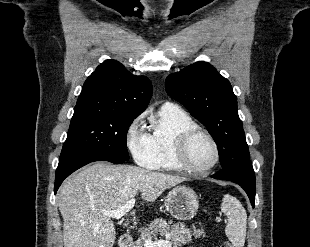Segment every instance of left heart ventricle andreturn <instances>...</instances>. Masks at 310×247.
<instances>
[{
  "label": "left heart ventricle",
  "mask_w": 310,
  "mask_h": 247,
  "mask_svg": "<svg viewBox=\"0 0 310 247\" xmlns=\"http://www.w3.org/2000/svg\"><path fill=\"white\" fill-rule=\"evenodd\" d=\"M215 157L211 142L204 136L194 138L189 146V162L195 168L210 165Z\"/></svg>",
  "instance_id": "b2bd125f"
}]
</instances>
